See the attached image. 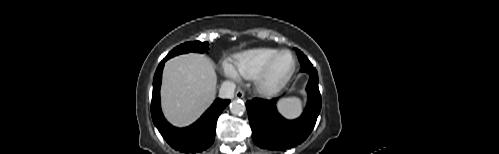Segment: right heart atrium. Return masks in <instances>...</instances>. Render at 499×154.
<instances>
[{
	"instance_id": "right-heart-atrium-1",
	"label": "right heart atrium",
	"mask_w": 499,
	"mask_h": 154,
	"mask_svg": "<svg viewBox=\"0 0 499 154\" xmlns=\"http://www.w3.org/2000/svg\"><path fill=\"white\" fill-rule=\"evenodd\" d=\"M222 69H223V72H224L227 76H229V77H233V78H234V77H236V76H237V75L235 74V72H234V70H233V68H232L231 64H230V63H228V62L223 63V65H222Z\"/></svg>"
}]
</instances>
